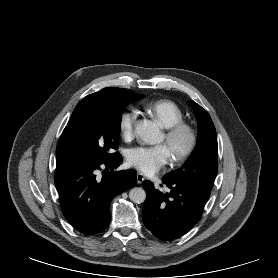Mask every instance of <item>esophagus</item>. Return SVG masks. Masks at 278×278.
Returning a JSON list of instances; mask_svg holds the SVG:
<instances>
[{"mask_svg": "<svg viewBox=\"0 0 278 278\" xmlns=\"http://www.w3.org/2000/svg\"><path fill=\"white\" fill-rule=\"evenodd\" d=\"M145 177L142 173L137 174V183L141 184L144 181Z\"/></svg>", "mask_w": 278, "mask_h": 278, "instance_id": "1", "label": "esophagus"}]
</instances>
